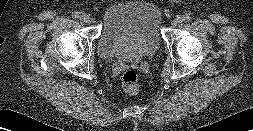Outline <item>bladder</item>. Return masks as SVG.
Masks as SVG:
<instances>
[{
	"mask_svg": "<svg viewBox=\"0 0 253 131\" xmlns=\"http://www.w3.org/2000/svg\"><path fill=\"white\" fill-rule=\"evenodd\" d=\"M161 22L160 7L152 0H115L102 21L97 52L105 58L152 55L162 44Z\"/></svg>",
	"mask_w": 253,
	"mask_h": 131,
	"instance_id": "1",
	"label": "bladder"
}]
</instances>
